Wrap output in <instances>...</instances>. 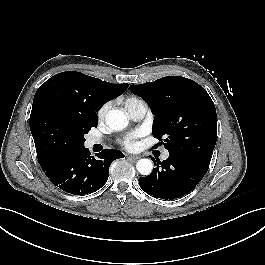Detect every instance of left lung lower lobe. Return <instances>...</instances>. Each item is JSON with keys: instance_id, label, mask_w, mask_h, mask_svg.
<instances>
[{"instance_id": "obj_1", "label": "left lung lower lobe", "mask_w": 265, "mask_h": 265, "mask_svg": "<svg viewBox=\"0 0 265 265\" xmlns=\"http://www.w3.org/2000/svg\"><path fill=\"white\" fill-rule=\"evenodd\" d=\"M157 168L147 177L139 178L146 193L166 200L179 198L190 192L203 178L209 167L188 159L169 157L160 162L152 158ZM160 165V166H159Z\"/></svg>"}]
</instances>
